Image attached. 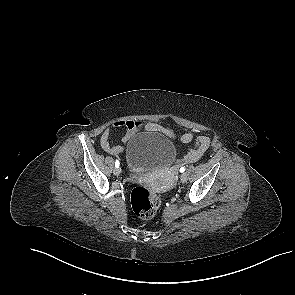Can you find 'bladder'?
I'll return each instance as SVG.
<instances>
[{
  "instance_id": "obj_1",
  "label": "bladder",
  "mask_w": 295,
  "mask_h": 295,
  "mask_svg": "<svg viewBox=\"0 0 295 295\" xmlns=\"http://www.w3.org/2000/svg\"><path fill=\"white\" fill-rule=\"evenodd\" d=\"M175 159L176 148L172 141L155 131L134 136L125 149L126 165L134 172L166 168Z\"/></svg>"
}]
</instances>
